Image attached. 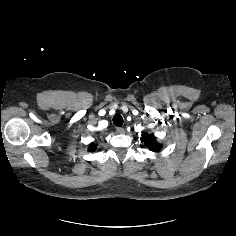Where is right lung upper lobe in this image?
<instances>
[{
	"mask_svg": "<svg viewBox=\"0 0 236 236\" xmlns=\"http://www.w3.org/2000/svg\"><path fill=\"white\" fill-rule=\"evenodd\" d=\"M96 149V145L95 144H91L88 148L89 151H94Z\"/></svg>",
	"mask_w": 236,
	"mask_h": 236,
	"instance_id": "obj_1",
	"label": "right lung upper lobe"
}]
</instances>
